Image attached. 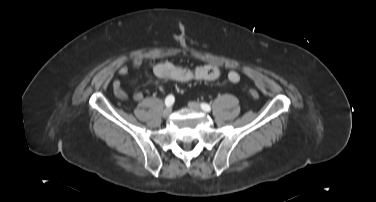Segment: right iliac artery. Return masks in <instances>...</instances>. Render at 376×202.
Here are the masks:
<instances>
[{"mask_svg": "<svg viewBox=\"0 0 376 202\" xmlns=\"http://www.w3.org/2000/svg\"><path fill=\"white\" fill-rule=\"evenodd\" d=\"M175 98L173 95H168L165 99V105L171 107L174 104Z\"/></svg>", "mask_w": 376, "mask_h": 202, "instance_id": "right-iliac-artery-1", "label": "right iliac artery"}]
</instances>
